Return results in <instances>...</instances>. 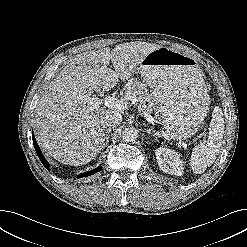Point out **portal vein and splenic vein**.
<instances>
[{"label":"portal vein and splenic vein","instance_id":"18ae733b","mask_svg":"<svg viewBox=\"0 0 247 247\" xmlns=\"http://www.w3.org/2000/svg\"><path fill=\"white\" fill-rule=\"evenodd\" d=\"M94 100V106L98 107L101 104L104 103L105 106H107L110 109H115L117 111H124L127 108L128 105V101H130L132 104H135L138 100L135 96H130L128 97L127 100L125 99H117L113 96H105L104 99H100V98H93ZM144 117L146 118V120L150 123H153V119L152 117H150L147 113H144Z\"/></svg>","mask_w":247,"mask_h":247}]
</instances>
